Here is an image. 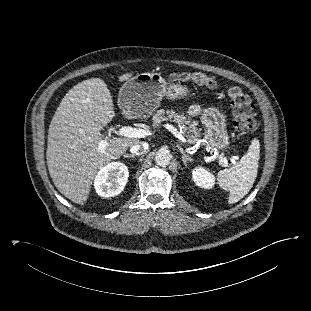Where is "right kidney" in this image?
Instances as JSON below:
<instances>
[{"instance_id":"ca27d5eb","label":"right kidney","mask_w":311,"mask_h":311,"mask_svg":"<svg viewBox=\"0 0 311 311\" xmlns=\"http://www.w3.org/2000/svg\"><path fill=\"white\" fill-rule=\"evenodd\" d=\"M129 177V171L121 162H111L97 173L94 186L101 197H113L122 192Z\"/></svg>"}]
</instances>
